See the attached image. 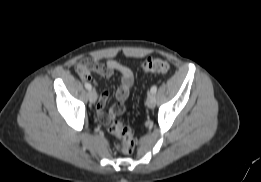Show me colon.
Returning a JSON list of instances; mask_svg holds the SVG:
<instances>
[{
  "label": "colon",
  "instance_id": "5ec220e1",
  "mask_svg": "<svg viewBox=\"0 0 261 182\" xmlns=\"http://www.w3.org/2000/svg\"><path fill=\"white\" fill-rule=\"evenodd\" d=\"M142 67L146 73H166L170 69L169 63L160 58H148L144 61ZM76 72L83 76L89 74L87 65L82 62H79L76 65ZM108 129L119 139L115 145L117 151L124 154H131L134 152L136 142L129 127L124 125L121 121L113 119L111 120Z\"/></svg>",
  "mask_w": 261,
  "mask_h": 182
}]
</instances>
